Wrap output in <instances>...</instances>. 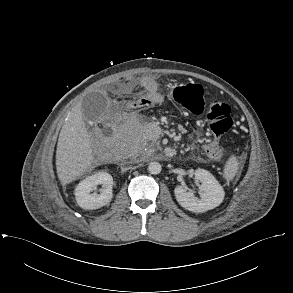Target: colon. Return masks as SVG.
Returning a JSON list of instances; mask_svg holds the SVG:
<instances>
[{
    "instance_id": "1",
    "label": "colon",
    "mask_w": 293,
    "mask_h": 293,
    "mask_svg": "<svg viewBox=\"0 0 293 293\" xmlns=\"http://www.w3.org/2000/svg\"><path fill=\"white\" fill-rule=\"evenodd\" d=\"M172 100L180 107L194 115H201L206 110L204 90L199 84H184L175 87L171 92ZM150 96H140L126 104V108L137 109L152 104ZM208 126L212 138L203 144L206 154L217 161L224 160L229 152L218 144L219 138L233 125L231 108L221 101H213L207 109Z\"/></svg>"
}]
</instances>
